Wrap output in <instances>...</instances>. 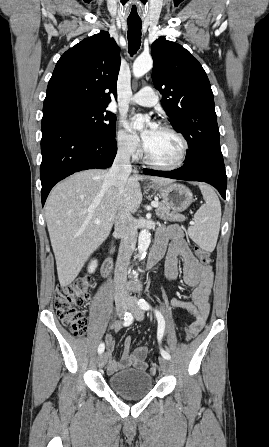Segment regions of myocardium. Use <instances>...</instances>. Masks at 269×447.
I'll return each instance as SVG.
<instances>
[{"mask_svg":"<svg viewBox=\"0 0 269 447\" xmlns=\"http://www.w3.org/2000/svg\"><path fill=\"white\" fill-rule=\"evenodd\" d=\"M159 127L174 133L175 135H177L181 139V141H182V150H181L180 156H179L178 160L175 163L170 164V165L156 162V161H154L151 158V156L149 154V151L147 149L145 140H143V154H144L143 159H144V161L147 164H149V165H151L153 167H156V168H159V169H162V170H176V169L182 167L183 164L185 163V160L187 158L188 151H189V141H188L187 137L180 130H178L177 128H175V127H173L171 125L162 124Z\"/></svg>","mask_w":269,"mask_h":447,"instance_id":"1","label":"myocardium"}]
</instances>
